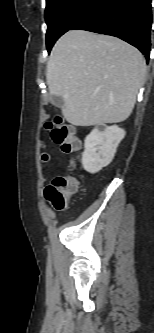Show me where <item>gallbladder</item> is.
Masks as SVG:
<instances>
[{"instance_id": "1", "label": "gallbladder", "mask_w": 154, "mask_h": 333, "mask_svg": "<svg viewBox=\"0 0 154 333\" xmlns=\"http://www.w3.org/2000/svg\"><path fill=\"white\" fill-rule=\"evenodd\" d=\"M52 104L58 108H61L64 105V100L59 96H54L52 98Z\"/></svg>"}]
</instances>
